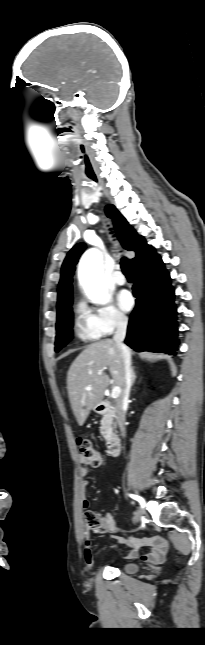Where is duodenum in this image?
Returning <instances> with one entry per match:
<instances>
[{
    "mask_svg": "<svg viewBox=\"0 0 205 645\" xmlns=\"http://www.w3.org/2000/svg\"><path fill=\"white\" fill-rule=\"evenodd\" d=\"M97 411L100 414L112 416L114 414V407L108 402H101ZM121 441L117 435H111L107 440V452L110 456L115 457L120 453Z\"/></svg>",
    "mask_w": 205,
    "mask_h": 645,
    "instance_id": "410a0bca",
    "label": "duodenum"
}]
</instances>
